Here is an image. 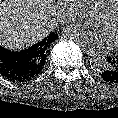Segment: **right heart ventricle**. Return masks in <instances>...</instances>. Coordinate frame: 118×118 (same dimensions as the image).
<instances>
[{
	"label": "right heart ventricle",
	"instance_id": "right-heart-ventricle-1",
	"mask_svg": "<svg viewBox=\"0 0 118 118\" xmlns=\"http://www.w3.org/2000/svg\"><path fill=\"white\" fill-rule=\"evenodd\" d=\"M99 7L103 8L104 6L111 3L113 0H93Z\"/></svg>",
	"mask_w": 118,
	"mask_h": 118
}]
</instances>
